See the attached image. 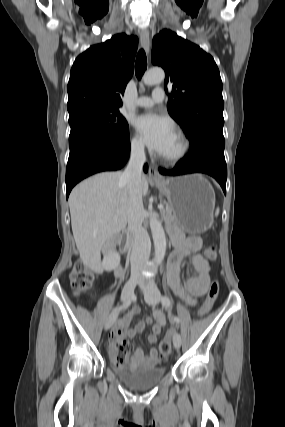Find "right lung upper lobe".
<instances>
[{"label": "right lung upper lobe", "mask_w": 285, "mask_h": 427, "mask_svg": "<svg viewBox=\"0 0 285 427\" xmlns=\"http://www.w3.org/2000/svg\"><path fill=\"white\" fill-rule=\"evenodd\" d=\"M138 39L118 34L79 55L70 72L67 109L119 108L134 72Z\"/></svg>", "instance_id": "obj_1"}]
</instances>
